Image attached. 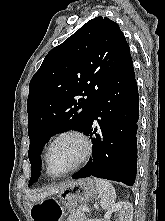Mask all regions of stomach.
Returning <instances> with one entry per match:
<instances>
[{"instance_id": "stomach-1", "label": "stomach", "mask_w": 165, "mask_h": 221, "mask_svg": "<svg viewBox=\"0 0 165 221\" xmlns=\"http://www.w3.org/2000/svg\"><path fill=\"white\" fill-rule=\"evenodd\" d=\"M97 194L91 178L69 181L59 190L58 200H36L31 217H72L78 204L89 202ZM34 221H71V218H34Z\"/></svg>"}]
</instances>
